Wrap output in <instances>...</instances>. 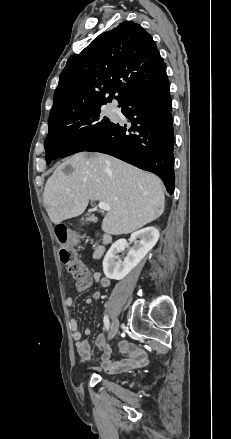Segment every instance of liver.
Here are the masks:
<instances>
[{
    "mask_svg": "<svg viewBox=\"0 0 231 439\" xmlns=\"http://www.w3.org/2000/svg\"><path fill=\"white\" fill-rule=\"evenodd\" d=\"M107 203L102 229L132 233L164 212L162 181L117 158L81 152L67 158L46 182L43 202L54 224L81 215L89 200Z\"/></svg>",
    "mask_w": 231,
    "mask_h": 439,
    "instance_id": "6515ba94",
    "label": "liver"
}]
</instances>
